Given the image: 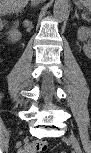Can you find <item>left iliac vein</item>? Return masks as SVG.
Returning a JSON list of instances; mask_svg holds the SVG:
<instances>
[{
    "label": "left iliac vein",
    "mask_w": 91,
    "mask_h": 153,
    "mask_svg": "<svg viewBox=\"0 0 91 153\" xmlns=\"http://www.w3.org/2000/svg\"><path fill=\"white\" fill-rule=\"evenodd\" d=\"M69 141L71 142L74 150L76 153H81V147L80 144L78 142V140L76 139V137L72 134L69 135Z\"/></svg>",
    "instance_id": "obj_1"
}]
</instances>
